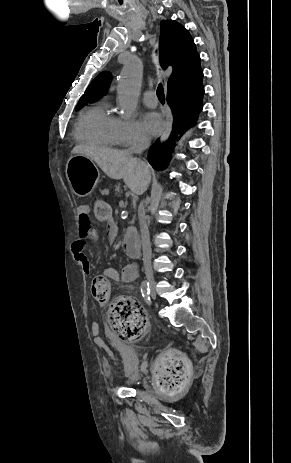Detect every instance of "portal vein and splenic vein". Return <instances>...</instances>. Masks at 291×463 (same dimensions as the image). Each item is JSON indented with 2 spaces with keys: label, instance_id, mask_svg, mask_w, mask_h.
Listing matches in <instances>:
<instances>
[{
  "label": "portal vein and splenic vein",
  "instance_id": "1",
  "mask_svg": "<svg viewBox=\"0 0 291 463\" xmlns=\"http://www.w3.org/2000/svg\"><path fill=\"white\" fill-rule=\"evenodd\" d=\"M127 203H124L123 201H120L119 206L120 207H125Z\"/></svg>",
  "mask_w": 291,
  "mask_h": 463
}]
</instances>
